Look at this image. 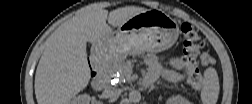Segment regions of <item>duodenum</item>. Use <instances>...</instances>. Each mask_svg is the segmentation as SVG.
Wrapping results in <instances>:
<instances>
[{
  "label": "duodenum",
  "mask_w": 252,
  "mask_h": 104,
  "mask_svg": "<svg viewBox=\"0 0 252 104\" xmlns=\"http://www.w3.org/2000/svg\"><path fill=\"white\" fill-rule=\"evenodd\" d=\"M107 83L106 76L104 74H99L94 78L92 86L95 90L102 91L107 87Z\"/></svg>",
  "instance_id": "1"
}]
</instances>
